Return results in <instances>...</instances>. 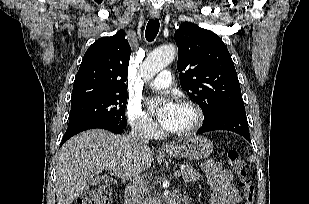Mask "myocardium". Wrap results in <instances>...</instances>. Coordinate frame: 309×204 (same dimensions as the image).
Instances as JSON below:
<instances>
[{
    "label": "myocardium",
    "instance_id": "1",
    "mask_svg": "<svg viewBox=\"0 0 309 204\" xmlns=\"http://www.w3.org/2000/svg\"><path fill=\"white\" fill-rule=\"evenodd\" d=\"M180 106L189 108L193 111L194 113V122L192 125L184 130H179V131H169V133L173 136L177 137H187L190 135L195 134L200 130L204 123V113L202 108L196 104L193 101L190 100H184L180 103Z\"/></svg>",
    "mask_w": 309,
    "mask_h": 204
}]
</instances>
